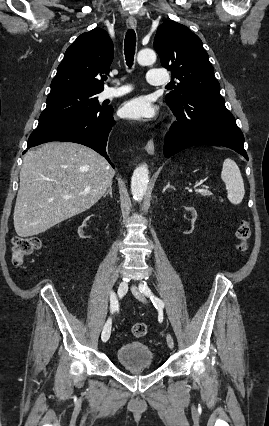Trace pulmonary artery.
<instances>
[{
  "label": "pulmonary artery",
  "mask_w": 269,
  "mask_h": 426,
  "mask_svg": "<svg viewBox=\"0 0 269 426\" xmlns=\"http://www.w3.org/2000/svg\"><path fill=\"white\" fill-rule=\"evenodd\" d=\"M146 79L153 85H165L169 81V76L162 69L151 68L147 71ZM128 91L127 87L107 88L103 91L102 97L104 99H113L126 94Z\"/></svg>",
  "instance_id": "1"
}]
</instances>
